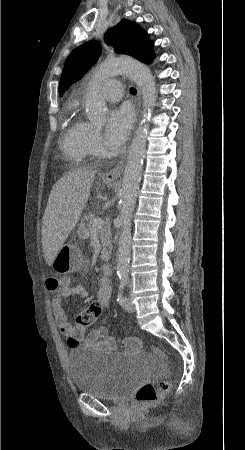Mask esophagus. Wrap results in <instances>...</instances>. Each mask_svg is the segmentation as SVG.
I'll return each mask as SVG.
<instances>
[{
  "label": "esophagus",
  "instance_id": "34e87169",
  "mask_svg": "<svg viewBox=\"0 0 245 450\" xmlns=\"http://www.w3.org/2000/svg\"><path fill=\"white\" fill-rule=\"evenodd\" d=\"M137 101H138V106H137V121H138L139 113H140V103H141L140 91H138V94H137ZM125 160H126V153L122 156L121 160L117 163V165L113 169H111L110 171H108L104 174V176H103L104 179H106V180L119 179L124 170Z\"/></svg>",
  "mask_w": 245,
  "mask_h": 450
}]
</instances>
